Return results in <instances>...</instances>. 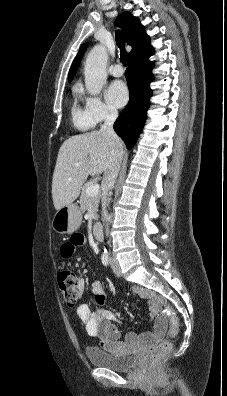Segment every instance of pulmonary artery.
I'll list each match as a JSON object with an SVG mask.
<instances>
[{"mask_svg":"<svg viewBox=\"0 0 227 396\" xmlns=\"http://www.w3.org/2000/svg\"><path fill=\"white\" fill-rule=\"evenodd\" d=\"M123 73V68L120 65H115L111 68V74L115 77H120Z\"/></svg>","mask_w":227,"mask_h":396,"instance_id":"1","label":"pulmonary artery"}]
</instances>
